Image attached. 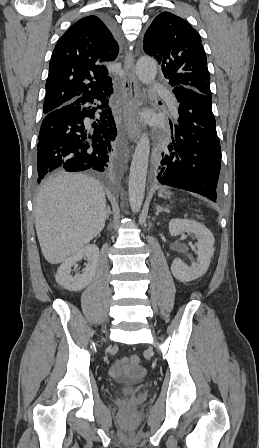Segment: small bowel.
I'll use <instances>...</instances> for the list:
<instances>
[{
  "instance_id": "small-bowel-1",
  "label": "small bowel",
  "mask_w": 259,
  "mask_h": 448,
  "mask_svg": "<svg viewBox=\"0 0 259 448\" xmlns=\"http://www.w3.org/2000/svg\"><path fill=\"white\" fill-rule=\"evenodd\" d=\"M109 374L114 378L136 379L145 374L143 367H133L129 364L128 358H122L110 368Z\"/></svg>"
}]
</instances>
